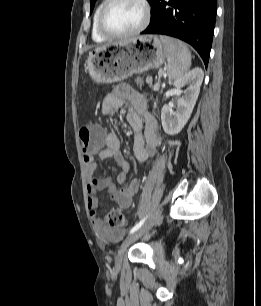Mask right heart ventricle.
<instances>
[{
	"mask_svg": "<svg viewBox=\"0 0 261 306\" xmlns=\"http://www.w3.org/2000/svg\"><path fill=\"white\" fill-rule=\"evenodd\" d=\"M107 0H102L99 5L97 6V8L95 9L94 15H93V21H92V29H91V33H92V39L95 42H103L106 41L108 38L105 37L104 35H102L99 30H98V16L99 13L102 9V7L104 6V4L106 3Z\"/></svg>",
	"mask_w": 261,
	"mask_h": 306,
	"instance_id": "obj_1",
	"label": "right heart ventricle"
}]
</instances>
